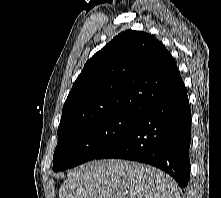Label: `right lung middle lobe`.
Masks as SVG:
<instances>
[{
	"label": "right lung middle lobe",
	"mask_w": 221,
	"mask_h": 198,
	"mask_svg": "<svg viewBox=\"0 0 221 198\" xmlns=\"http://www.w3.org/2000/svg\"><path fill=\"white\" fill-rule=\"evenodd\" d=\"M139 116L127 113L114 114L59 135L53 155V170L63 171L95 159L128 134Z\"/></svg>",
	"instance_id": "dd1d6c3e"
}]
</instances>
